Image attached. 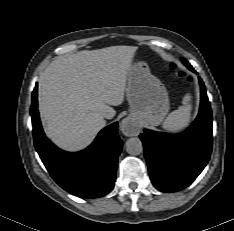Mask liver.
Instances as JSON below:
<instances>
[{"instance_id":"obj_1","label":"liver","mask_w":234,"mask_h":231,"mask_svg":"<svg viewBox=\"0 0 234 231\" xmlns=\"http://www.w3.org/2000/svg\"><path fill=\"white\" fill-rule=\"evenodd\" d=\"M133 46L84 50L50 63L39 78V112L46 135L78 151L105 127V114L122 104Z\"/></svg>"}]
</instances>
